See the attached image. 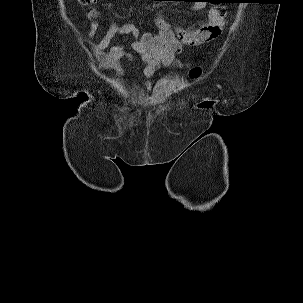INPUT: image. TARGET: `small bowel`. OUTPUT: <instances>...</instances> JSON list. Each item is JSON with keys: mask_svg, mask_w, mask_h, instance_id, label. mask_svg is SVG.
Listing matches in <instances>:
<instances>
[{"mask_svg": "<svg viewBox=\"0 0 303 303\" xmlns=\"http://www.w3.org/2000/svg\"><path fill=\"white\" fill-rule=\"evenodd\" d=\"M110 8V4L104 5ZM91 21L88 35L93 37L100 26L101 12L91 9L88 14ZM157 28L156 34H140L139 29L132 23L119 25L112 23L104 36L92 46L99 65L114 71L116 76L124 73L122 60H133L132 54L127 52L123 45L111 46L112 39L120 35L124 39L134 38L132 49L140 56L145 64L143 75L145 79L151 78L161 66H179L178 56L183 52V44H200L216 38L224 26V14L218 9L209 12L208 19L200 25L189 28L178 27L173 30L172 25L161 15L154 18Z\"/></svg>", "mask_w": 303, "mask_h": 303, "instance_id": "small-bowel-1", "label": "small bowel"}]
</instances>
